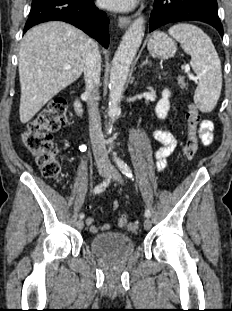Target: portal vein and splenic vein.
<instances>
[{"mask_svg":"<svg viewBox=\"0 0 232 311\" xmlns=\"http://www.w3.org/2000/svg\"><path fill=\"white\" fill-rule=\"evenodd\" d=\"M65 69H71V66L66 65V66H65ZM185 71H186V72H188V71H189V69H185ZM190 78H191L192 80H194V81H196V80H197V77H193L192 75H190Z\"/></svg>","mask_w":232,"mask_h":311,"instance_id":"18ae733b","label":"portal vein and splenic vein"}]
</instances>
